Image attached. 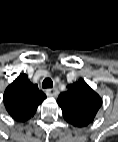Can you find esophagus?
Instances as JSON below:
<instances>
[{"instance_id": "obj_1", "label": "esophagus", "mask_w": 118, "mask_h": 142, "mask_svg": "<svg viewBox=\"0 0 118 142\" xmlns=\"http://www.w3.org/2000/svg\"><path fill=\"white\" fill-rule=\"evenodd\" d=\"M46 94L50 97H57L59 94V91L57 88H51L46 90Z\"/></svg>"}]
</instances>
